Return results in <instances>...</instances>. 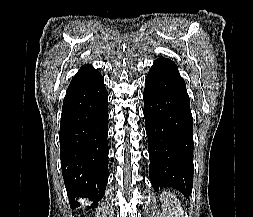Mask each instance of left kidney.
<instances>
[{
  "instance_id": "5707ae66",
  "label": "left kidney",
  "mask_w": 253,
  "mask_h": 217,
  "mask_svg": "<svg viewBox=\"0 0 253 217\" xmlns=\"http://www.w3.org/2000/svg\"><path fill=\"white\" fill-rule=\"evenodd\" d=\"M161 201L164 202V206L172 208L173 212L177 215L176 217H182L183 210L180 206V202L177 198L170 193H165L161 195Z\"/></svg>"
}]
</instances>
